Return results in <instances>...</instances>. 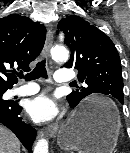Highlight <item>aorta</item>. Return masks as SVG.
Returning <instances> with one entry per match:
<instances>
[{"label": "aorta", "instance_id": "obj_1", "mask_svg": "<svg viewBox=\"0 0 130 153\" xmlns=\"http://www.w3.org/2000/svg\"><path fill=\"white\" fill-rule=\"evenodd\" d=\"M51 55L55 61H67L69 52L65 47L55 46L51 50ZM34 153H48V141L44 138L39 139L34 147Z\"/></svg>", "mask_w": 130, "mask_h": 153}]
</instances>
